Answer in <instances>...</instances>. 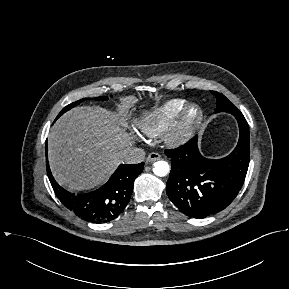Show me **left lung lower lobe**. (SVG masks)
Returning a JSON list of instances; mask_svg holds the SVG:
<instances>
[{
	"label": "left lung lower lobe",
	"mask_w": 289,
	"mask_h": 289,
	"mask_svg": "<svg viewBox=\"0 0 289 289\" xmlns=\"http://www.w3.org/2000/svg\"><path fill=\"white\" fill-rule=\"evenodd\" d=\"M240 136L236 148L218 160L204 158L197 137L165 150L172 167L166 184L169 199L184 214L205 218L225 209L240 191L249 166V126L243 114H236Z\"/></svg>",
	"instance_id": "1"
}]
</instances>
